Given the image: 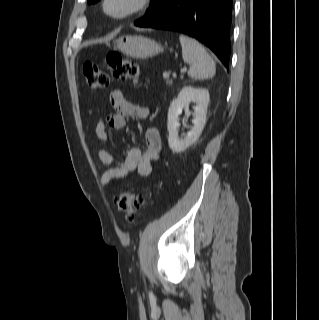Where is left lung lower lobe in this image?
Masks as SVG:
<instances>
[{
    "instance_id": "left-lung-lower-lobe-1",
    "label": "left lung lower lobe",
    "mask_w": 319,
    "mask_h": 320,
    "mask_svg": "<svg viewBox=\"0 0 319 320\" xmlns=\"http://www.w3.org/2000/svg\"><path fill=\"white\" fill-rule=\"evenodd\" d=\"M231 21L232 0H163L134 24L192 36L228 68Z\"/></svg>"
}]
</instances>
